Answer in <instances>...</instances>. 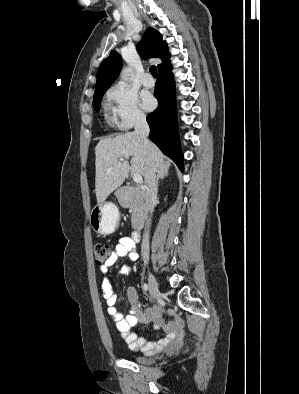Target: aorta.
Here are the masks:
<instances>
[{"mask_svg": "<svg viewBox=\"0 0 299 394\" xmlns=\"http://www.w3.org/2000/svg\"><path fill=\"white\" fill-rule=\"evenodd\" d=\"M131 72H132V70L129 67L124 68L121 72V79L124 81H128L129 77L131 75Z\"/></svg>", "mask_w": 299, "mask_h": 394, "instance_id": "762f6f07", "label": "aorta"}]
</instances>
